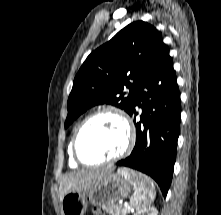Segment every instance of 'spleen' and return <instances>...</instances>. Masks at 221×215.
Returning <instances> with one entry per match:
<instances>
[{"mask_svg": "<svg viewBox=\"0 0 221 215\" xmlns=\"http://www.w3.org/2000/svg\"><path fill=\"white\" fill-rule=\"evenodd\" d=\"M127 174V171L125 172ZM134 193L130 198V207L137 211L148 208L155 199V187L152 180L145 176L142 182L135 181Z\"/></svg>", "mask_w": 221, "mask_h": 215, "instance_id": "obj_1", "label": "spleen"}]
</instances>
